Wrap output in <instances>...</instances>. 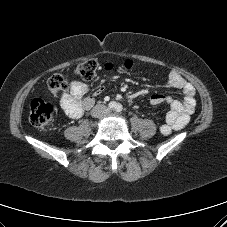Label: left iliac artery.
<instances>
[{
  "label": "left iliac artery",
  "instance_id": "obj_1",
  "mask_svg": "<svg viewBox=\"0 0 227 227\" xmlns=\"http://www.w3.org/2000/svg\"><path fill=\"white\" fill-rule=\"evenodd\" d=\"M115 110H116V112H118V113L122 112V110H123L122 105H121V104H117Z\"/></svg>",
  "mask_w": 227,
  "mask_h": 227
}]
</instances>
